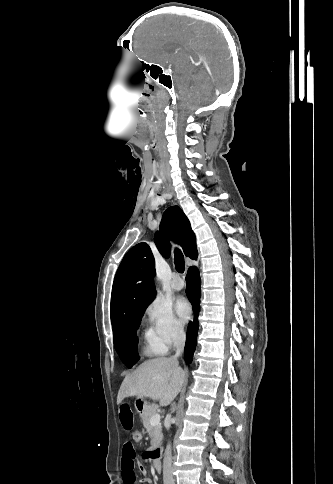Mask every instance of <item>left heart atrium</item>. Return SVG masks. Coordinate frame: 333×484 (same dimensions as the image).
Instances as JSON below:
<instances>
[{"label":"left heart atrium","instance_id":"1","mask_svg":"<svg viewBox=\"0 0 333 484\" xmlns=\"http://www.w3.org/2000/svg\"><path fill=\"white\" fill-rule=\"evenodd\" d=\"M175 311L182 321H187L192 313V308L187 299L179 297L175 301Z\"/></svg>","mask_w":333,"mask_h":484}]
</instances>
